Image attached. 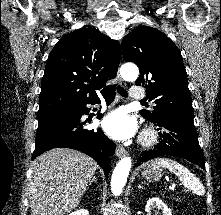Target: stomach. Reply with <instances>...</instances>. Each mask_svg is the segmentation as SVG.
Listing matches in <instances>:
<instances>
[{"mask_svg": "<svg viewBox=\"0 0 221 215\" xmlns=\"http://www.w3.org/2000/svg\"><path fill=\"white\" fill-rule=\"evenodd\" d=\"M142 176L147 181H150V182L157 181L162 176V169H161V167H158V166L148 165L146 168H144V170L142 172Z\"/></svg>", "mask_w": 221, "mask_h": 215, "instance_id": "1", "label": "stomach"}]
</instances>
